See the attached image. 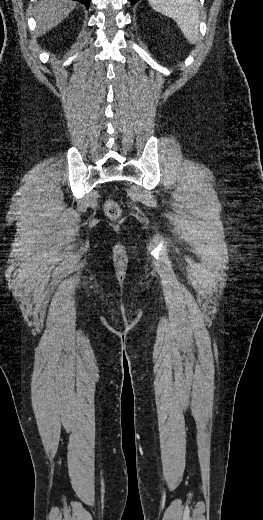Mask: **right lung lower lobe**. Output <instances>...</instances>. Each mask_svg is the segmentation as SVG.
I'll return each mask as SVG.
<instances>
[{"label": "right lung lower lobe", "instance_id": "1", "mask_svg": "<svg viewBox=\"0 0 263 520\" xmlns=\"http://www.w3.org/2000/svg\"><path fill=\"white\" fill-rule=\"evenodd\" d=\"M76 1L82 2V3L85 4V6L88 8L89 1H90V0H76Z\"/></svg>", "mask_w": 263, "mask_h": 520}]
</instances>
